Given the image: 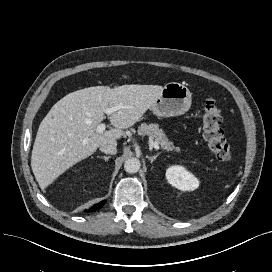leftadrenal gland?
Returning a JSON list of instances; mask_svg holds the SVG:
<instances>
[{"instance_id":"left-adrenal-gland-1","label":"left adrenal gland","mask_w":272,"mask_h":272,"mask_svg":"<svg viewBox=\"0 0 272 272\" xmlns=\"http://www.w3.org/2000/svg\"><path fill=\"white\" fill-rule=\"evenodd\" d=\"M160 155V152L159 153H157L156 155H154V156H147V158L151 161V163L154 161V160H156V158L158 157Z\"/></svg>"}]
</instances>
